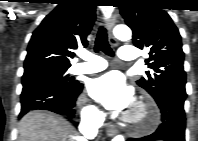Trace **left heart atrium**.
<instances>
[{"instance_id":"1","label":"left heart atrium","mask_w":198,"mask_h":141,"mask_svg":"<svg viewBox=\"0 0 198 141\" xmlns=\"http://www.w3.org/2000/svg\"><path fill=\"white\" fill-rule=\"evenodd\" d=\"M90 95L113 111H124L133 105L132 90L117 72L104 74L90 83Z\"/></svg>"}]
</instances>
